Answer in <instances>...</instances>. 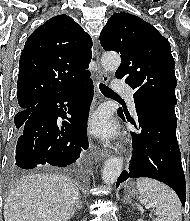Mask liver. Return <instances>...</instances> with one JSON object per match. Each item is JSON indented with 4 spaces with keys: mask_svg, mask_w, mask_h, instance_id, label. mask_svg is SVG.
<instances>
[{
    "mask_svg": "<svg viewBox=\"0 0 190 221\" xmlns=\"http://www.w3.org/2000/svg\"><path fill=\"white\" fill-rule=\"evenodd\" d=\"M79 196L64 176L33 174L20 180L4 203L5 221H67Z\"/></svg>",
    "mask_w": 190,
    "mask_h": 221,
    "instance_id": "6515ba94",
    "label": "liver"
}]
</instances>
